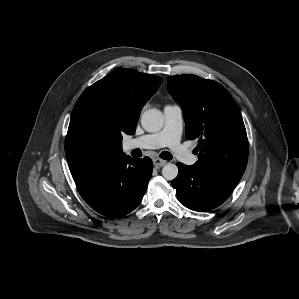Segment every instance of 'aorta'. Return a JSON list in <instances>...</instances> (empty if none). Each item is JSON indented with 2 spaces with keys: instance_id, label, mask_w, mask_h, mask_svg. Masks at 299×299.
Wrapping results in <instances>:
<instances>
[{
  "instance_id": "762f6f07",
  "label": "aorta",
  "mask_w": 299,
  "mask_h": 299,
  "mask_svg": "<svg viewBox=\"0 0 299 299\" xmlns=\"http://www.w3.org/2000/svg\"><path fill=\"white\" fill-rule=\"evenodd\" d=\"M141 125L147 132L160 131L164 125L162 112L155 108L146 110L141 116ZM162 175L167 180H173L178 175V167L173 163H167L162 169Z\"/></svg>"
}]
</instances>
